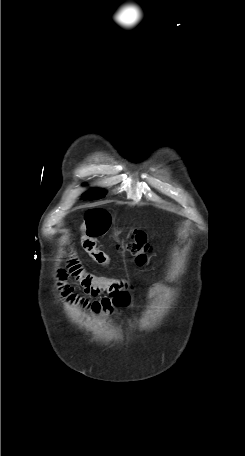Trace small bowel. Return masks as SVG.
Instances as JSON below:
<instances>
[{"label": "small bowel", "mask_w": 245, "mask_h": 456, "mask_svg": "<svg viewBox=\"0 0 245 456\" xmlns=\"http://www.w3.org/2000/svg\"><path fill=\"white\" fill-rule=\"evenodd\" d=\"M111 224V216L108 211L96 208L86 212L80 225L81 242L85 251L99 264L109 266V257L96 246V238L104 235ZM67 272L75 276L84 291L91 297L102 296L99 300H89L73 293L66 284ZM59 285L64 299L70 304L81 307L92 313L110 315L120 308L131 303V285L125 279L99 277L85 272L74 252H70L67 261V271L59 273ZM157 287L151 288L148 295L156 293Z\"/></svg>", "instance_id": "small-bowel-1"}]
</instances>
